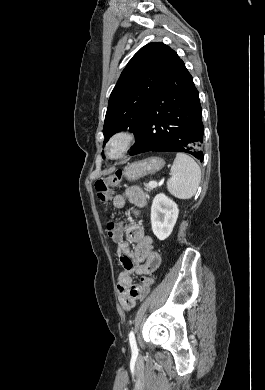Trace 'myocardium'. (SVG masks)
<instances>
[{
	"label": "myocardium",
	"mask_w": 265,
	"mask_h": 390,
	"mask_svg": "<svg viewBox=\"0 0 265 390\" xmlns=\"http://www.w3.org/2000/svg\"><path fill=\"white\" fill-rule=\"evenodd\" d=\"M136 141V135L132 130L121 129L114 132L105 146V153L110 160H119L124 157Z\"/></svg>",
	"instance_id": "obj_1"
}]
</instances>
